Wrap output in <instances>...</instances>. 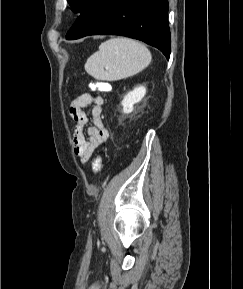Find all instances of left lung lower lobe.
<instances>
[{
	"label": "left lung lower lobe",
	"mask_w": 243,
	"mask_h": 289,
	"mask_svg": "<svg viewBox=\"0 0 243 289\" xmlns=\"http://www.w3.org/2000/svg\"><path fill=\"white\" fill-rule=\"evenodd\" d=\"M168 0H90L66 39L112 34L152 45L170 57Z\"/></svg>",
	"instance_id": "1"
}]
</instances>
